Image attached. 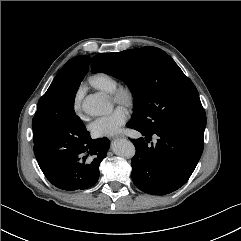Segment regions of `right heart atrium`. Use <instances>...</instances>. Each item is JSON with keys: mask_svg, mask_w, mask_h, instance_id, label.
<instances>
[{"mask_svg": "<svg viewBox=\"0 0 241 241\" xmlns=\"http://www.w3.org/2000/svg\"><path fill=\"white\" fill-rule=\"evenodd\" d=\"M73 107L76 113H79L81 111V91H78L75 98Z\"/></svg>", "mask_w": 241, "mask_h": 241, "instance_id": "right-heart-atrium-1", "label": "right heart atrium"}]
</instances>
